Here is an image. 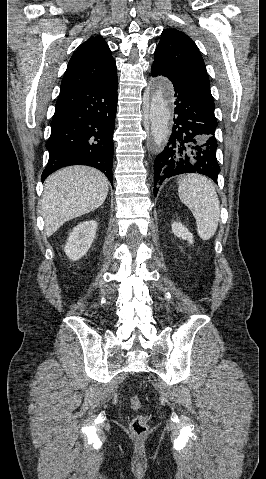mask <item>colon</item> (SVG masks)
<instances>
[{"instance_id": "obj_1", "label": "colon", "mask_w": 266, "mask_h": 479, "mask_svg": "<svg viewBox=\"0 0 266 479\" xmlns=\"http://www.w3.org/2000/svg\"><path fill=\"white\" fill-rule=\"evenodd\" d=\"M130 407L136 411L140 412L142 409V401L138 396H132L130 398ZM148 418L145 414L138 413L130 423L131 433L137 437L142 438L147 434L148 431Z\"/></svg>"}]
</instances>
